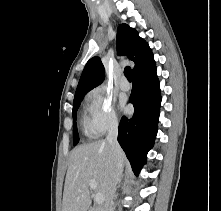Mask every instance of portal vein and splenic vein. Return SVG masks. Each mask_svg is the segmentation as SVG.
<instances>
[{"instance_id": "obj_1", "label": "portal vein and splenic vein", "mask_w": 221, "mask_h": 211, "mask_svg": "<svg viewBox=\"0 0 221 211\" xmlns=\"http://www.w3.org/2000/svg\"><path fill=\"white\" fill-rule=\"evenodd\" d=\"M89 186L91 189H96V186H97L96 181L94 179H91L89 181ZM104 200H105V196L102 193H97L94 197V202L97 205L103 204Z\"/></svg>"}]
</instances>
